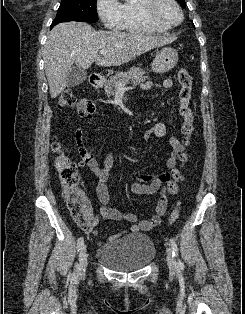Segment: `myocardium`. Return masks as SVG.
<instances>
[{
    "instance_id": "1",
    "label": "myocardium",
    "mask_w": 245,
    "mask_h": 314,
    "mask_svg": "<svg viewBox=\"0 0 245 314\" xmlns=\"http://www.w3.org/2000/svg\"><path fill=\"white\" fill-rule=\"evenodd\" d=\"M165 3H170L176 7L181 16L179 22H172L164 17L162 14V7ZM143 11L148 19L168 28L177 26L184 20L183 10L177 0H149V2L143 6Z\"/></svg>"
}]
</instances>
